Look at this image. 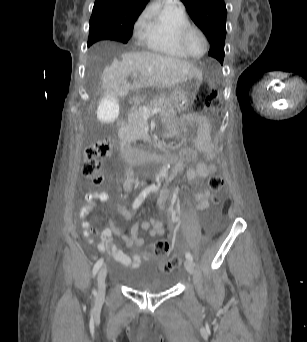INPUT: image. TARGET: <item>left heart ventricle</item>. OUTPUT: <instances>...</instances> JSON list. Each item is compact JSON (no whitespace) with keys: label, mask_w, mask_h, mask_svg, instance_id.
I'll return each mask as SVG.
<instances>
[{"label":"left heart ventricle","mask_w":307,"mask_h":342,"mask_svg":"<svg viewBox=\"0 0 307 342\" xmlns=\"http://www.w3.org/2000/svg\"><path fill=\"white\" fill-rule=\"evenodd\" d=\"M186 46L189 53L194 57H200L204 53L205 44L198 29L192 30L186 39Z\"/></svg>","instance_id":"left-heart-ventricle-1"}]
</instances>
